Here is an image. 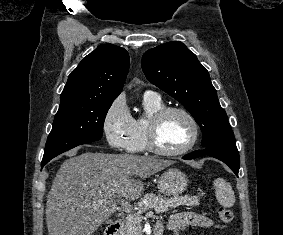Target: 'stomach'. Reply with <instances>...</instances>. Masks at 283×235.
Wrapping results in <instances>:
<instances>
[{
    "mask_svg": "<svg viewBox=\"0 0 283 235\" xmlns=\"http://www.w3.org/2000/svg\"><path fill=\"white\" fill-rule=\"evenodd\" d=\"M188 183L187 176L176 168L164 171L158 179L160 192L167 196H177L185 191Z\"/></svg>",
    "mask_w": 283,
    "mask_h": 235,
    "instance_id": "1",
    "label": "stomach"
}]
</instances>
